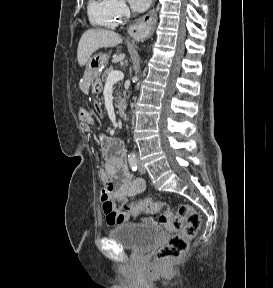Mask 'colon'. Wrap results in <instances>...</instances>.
Returning a JSON list of instances; mask_svg holds the SVG:
<instances>
[{"label": "colon", "mask_w": 273, "mask_h": 288, "mask_svg": "<svg viewBox=\"0 0 273 288\" xmlns=\"http://www.w3.org/2000/svg\"><path fill=\"white\" fill-rule=\"evenodd\" d=\"M96 110H99L98 106ZM127 210L132 213L146 212L158 215L159 222L163 226L176 232L165 245L157 250L155 259L159 263L181 258L186 253L189 241L195 237L201 223L198 212L188 204L180 205L174 212L164 201L144 199L128 205Z\"/></svg>", "instance_id": "1"}]
</instances>
